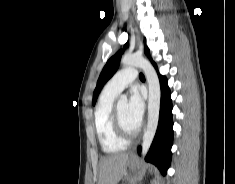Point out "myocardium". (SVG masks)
I'll list each match as a JSON object with an SVG mask.
<instances>
[{"instance_id": "obj_1", "label": "myocardium", "mask_w": 235, "mask_h": 184, "mask_svg": "<svg viewBox=\"0 0 235 184\" xmlns=\"http://www.w3.org/2000/svg\"><path fill=\"white\" fill-rule=\"evenodd\" d=\"M112 118H113L114 130H115L116 134L122 140H124L126 142H131V141H135L136 139H138L140 137L141 132H142L141 127H139L134 133H129L125 130V128L123 127V125L121 123L117 107L113 108Z\"/></svg>"}]
</instances>
